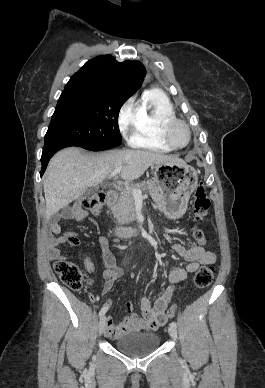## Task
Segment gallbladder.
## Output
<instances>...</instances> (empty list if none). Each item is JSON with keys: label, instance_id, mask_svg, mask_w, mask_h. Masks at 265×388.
<instances>
[{"label": "gallbladder", "instance_id": "gallbladder-1", "mask_svg": "<svg viewBox=\"0 0 265 388\" xmlns=\"http://www.w3.org/2000/svg\"><path fill=\"white\" fill-rule=\"evenodd\" d=\"M91 190H97V188H91ZM91 190H87V194H90ZM84 198V196H83Z\"/></svg>", "mask_w": 265, "mask_h": 388}]
</instances>
